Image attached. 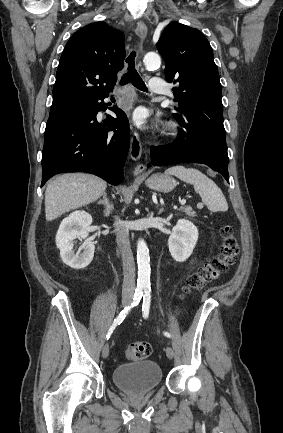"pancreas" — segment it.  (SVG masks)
<instances>
[{
	"label": "pancreas",
	"instance_id": "pancreas-1",
	"mask_svg": "<svg viewBox=\"0 0 283 433\" xmlns=\"http://www.w3.org/2000/svg\"><path fill=\"white\" fill-rule=\"evenodd\" d=\"M183 212H186V214H189V217H196V214L194 210H192L191 206H184L182 208Z\"/></svg>",
	"mask_w": 283,
	"mask_h": 433
}]
</instances>
